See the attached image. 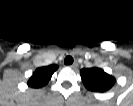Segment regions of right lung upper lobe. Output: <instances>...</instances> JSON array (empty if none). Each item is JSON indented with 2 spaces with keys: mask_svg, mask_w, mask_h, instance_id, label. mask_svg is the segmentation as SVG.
<instances>
[{
  "mask_svg": "<svg viewBox=\"0 0 133 106\" xmlns=\"http://www.w3.org/2000/svg\"><path fill=\"white\" fill-rule=\"evenodd\" d=\"M57 69V65H50L36 69L32 77L29 79L28 85L33 88H40L45 86L51 79L52 74Z\"/></svg>",
  "mask_w": 133,
  "mask_h": 106,
  "instance_id": "cb5924a9",
  "label": "right lung upper lobe"
}]
</instances>
